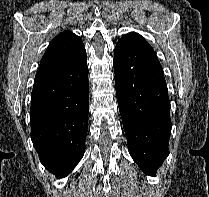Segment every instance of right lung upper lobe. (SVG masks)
<instances>
[{"label": "right lung upper lobe", "instance_id": "cb5924a9", "mask_svg": "<svg viewBox=\"0 0 209 197\" xmlns=\"http://www.w3.org/2000/svg\"><path fill=\"white\" fill-rule=\"evenodd\" d=\"M83 51L81 38L70 31L58 34L42 57L35 80L50 75L75 60Z\"/></svg>", "mask_w": 209, "mask_h": 197}]
</instances>
